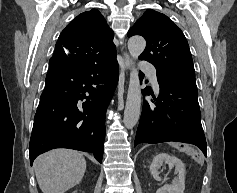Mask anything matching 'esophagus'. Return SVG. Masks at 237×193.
I'll use <instances>...</instances> for the list:
<instances>
[{
	"instance_id": "34e87169",
	"label": "esophagus",
	"mask_w": 237,
	"mask_h": 193,
	"mask_svg": "<svg viewBox=\"0 0 237 193\" xmlns=\"http://www.w3.org/2000/svg\"><path fill=\"white\" fill-rule=\"evenodd\" d=\"M123 58H124L123 68L125 70V73L128 74L132 67V59L126 51L123 52Z\"/></svg>"
}]
</instances>
